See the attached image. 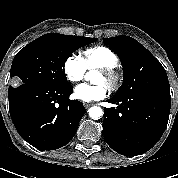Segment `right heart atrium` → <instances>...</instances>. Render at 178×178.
<instances>
[{"mask_svg": "<svg viewBox=\"0 0 178 178\" xmlns=\"http://www.w3.org/2000/svg\"><path fill=\"white\" fill-rule=\"evenodd\" d=\"M63 70L66 78L72 83L81 81L86 73V67L82 59L74 55H70L66 58L64 61Z\"/></svg>", "mask_w": 178, "mask_h": 178, "instance_id": "right-heart-atrium-1", "label": "right heart atrium"}]
</instances>
